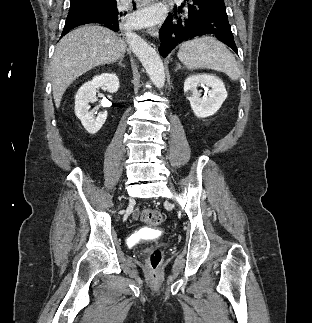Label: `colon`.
Listing matches in <instances>:
<instances>
[{
	"label": "colon",
	"mask_w": 312,
	"mask_h": 323,
	"mask_svg": "<svg viewBox=\"0 0 312 323\" xmlns=\"http://www.w3.org/2000/svg\"><path fill=\"white\" fill-rule=\"evenodd\" d=\"M141 218L144 222L151 225H158L163 221V214L155 209L143 208L141 211ZM161 259V251L155 249L149 255L150 269H159V261Z\"/></svg>",
	"instance_id": "colon-1"
}]
</instances>
